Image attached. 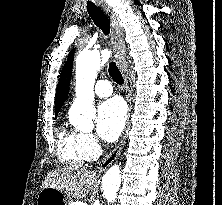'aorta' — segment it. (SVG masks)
Returning a JSON list of instances; mask_svg holds the SVG:
<instances>
[{
  "mask_svg": "<svg viewBox=\"0 0 222 205\" xmlns=\"http://www.w3.org/2000/svg\"><path fill=\"white\" fill-rule=\"evenodd\" d=\"M105 55L97 51L81 52L76 61V99L70 111V123L80 131H91L94 128L95 115L94 84L97 72L105 64ZM123 187V177L119 165L112 166L105 174L99 197L94 205H113Z\"/></svg>",
  "mask_w": 222,
  "mask_h": 205,
  "instance_id": "aorta-1",
  "label": "aorta"
}]
</instances>
